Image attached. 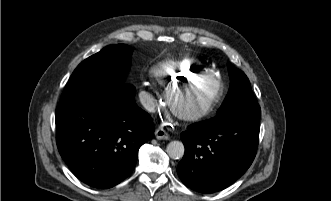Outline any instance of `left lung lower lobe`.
<instances>
[{"instance_id":"left-lung-lower-lobe-1","label":"left lung lower lobe","mask_w":331,"mask_h":201,"mask_svg":"<svg viewBox=\"0 0 331 201\" xmlns=\"http://www.w3.org/2000/svg\"><path fill=\"white\" fill-rule=\"evenodd\" d=\"M259 106L218 114L181 134L186 151L177 167L181 181L201 192L220 191L252 164L260 130Z\"/></svg>"}]
</instances>
